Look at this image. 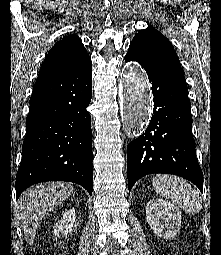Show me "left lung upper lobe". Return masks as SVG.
Masks as SVG:
<instances>
[{
	"label": "left lung upper lobe",
	"mask_w": 221,
	"mask_h": 255,
	"mask_svg": "<svg viewBox=\"0 0 221 255\" xmlns=\"http://www.w3.org/2000/svg\"><path fill=\"white\" fill-rule=\"evenodd\" d=\"M128 51L184 83L183 71L171 42L153 27L140 30L133 38Z\"/></svg>",
	"instance_id": "1"
}]
</instances>
